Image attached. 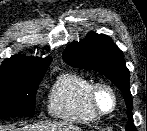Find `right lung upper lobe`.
<instances>
[{"label": "right lung upper lobe", "instance_id": "obj_1", "mask_svg": "<svg viewBox=\"0 0 147 131\" xmlns=\"http://www.w3.org/2000/svg\"><path fill=\"white\" fill-rule=\"evenodd\" d=\"M51 57L36 58L18 55L3 61L0 73H36L46 71Z\"/></svg>", "mask_w": 147, "mask_h": 131}]
</instances>
